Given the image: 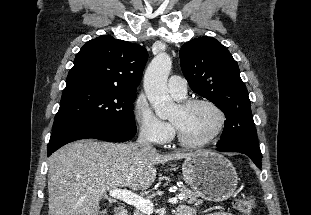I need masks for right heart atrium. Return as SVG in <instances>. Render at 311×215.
<instances>
[{"instance_id":"d8ad5b80","label":"right heart atrium","mask_w":311,"mask_h":215,"mask_svg":"<svg viewBox=\"0 0 311 215\" xmlns=\"http://www.w3.org/2000/svg\"><path fill=\"white\" fill-rule=\"evenodd\" d=\"M132 114L140 133L149 141L164 144L171 139L172 127L154 113L144 95L135 99Z\"/></svg>"}]
</instances>
